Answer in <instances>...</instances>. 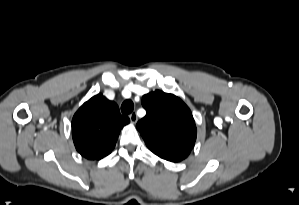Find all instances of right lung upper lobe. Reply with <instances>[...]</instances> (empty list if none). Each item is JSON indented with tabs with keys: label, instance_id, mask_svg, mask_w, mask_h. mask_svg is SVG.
Here are the masks:
<instances>
[{
	"label": "right lung upper lobe",
	"instance_id": "cb5924a9",
	"mask_svg": "<svg viewBox=\"0 0 299 205\" xmlns=\"http://www.w3.org/2000/svg\"><path fill=\"white\" fill-rule=\"evenodd\" d=\"M117 104L102 94L85 102L72 119L76 150L89 160H100L115 147L120 130L129 123Z\"/></svg>",
	"mask_w": 299,
	"mask_h": 205
}]
</instances>
